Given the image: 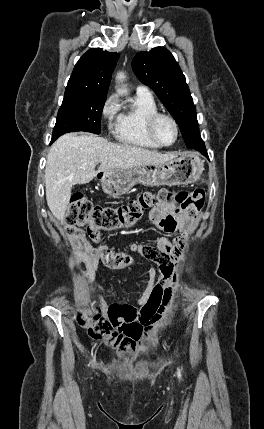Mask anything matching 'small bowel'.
<instances>
[{
    "label": "small bowel",
    "instance_id": "small-bowel-1",
    "mask_svg": "<svg viewBox=\"0 0 264 429\" xmlns=\"http://www.w3.org/2000/svg\"><path fill=\"white\" fill-rule=\"evenodd\" d=\"M149 222L166 232L181 234L169 240L157 238L151 246L133 243L130 247L134 253L142 254L148 261L159 266L160 280L155 283V269L151 268L144 281L138 297V308L128 304L117 303L116 306H130L135 318L129 328L122 331L124 344L132 347L139 343L146 344L151 337L165 329L172 322L168 313L172 292L177 281L178 260L184 250L187 232L191 229L192 220L173 202L156 205L149 214ZM68 244L75 251V259L86 266V277L93 279L100 265L108 268L122 269L133 265V258L123 252H116L111 247L100 243L99 235L88 236L83 231L65 229ZM93 291V289H91ZM107 313L109 307L102 303Z\"/></svg>",
    "mask_w": 264,
    "mask_h": 429
}]
</instances>
